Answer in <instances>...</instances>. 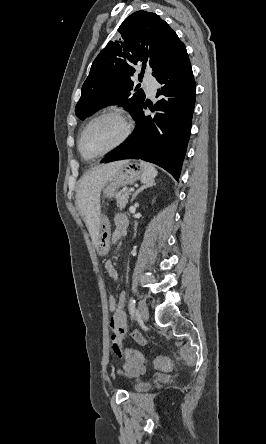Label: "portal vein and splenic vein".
I'll use <instances>...</instances> for the list:
<instances>
[{"instance_id": "portal-vein-and-splenic-vein-1", "label": "portal vein and splenic vein", "mask_w": 266, "mask_h": 444, "mask_svg": "<svg viewBox=\"0 0 266 444\" xmlns=\"http://www.w3.org/2000/svg\"><path fill=\"white\" fill-rule=\"evenodd\" d=\"M133 191H134V189H130L128 192L131 193V192H133Z\"/></svg>"}]
</instances>
